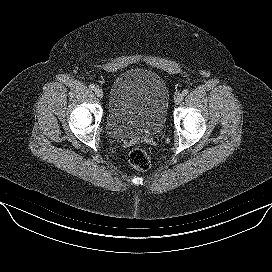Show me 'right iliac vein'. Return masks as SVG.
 Segmentation results:
<instances>
[{"label":"right iliac vein","instance_id":"1","mask_svg":"<svg viewBox=\"0 0 272 272\" xmlns=\"http://www.w3.org/2000/svg\"><path fill=\"white\" fill-rule=\"evenodd\" d=\"M94 91H95V94L98 98H100V99L103 98L104 92L101 88L97 87Z\"/></svg>","mask_w":272,"mask_h":272}]
</instances>
